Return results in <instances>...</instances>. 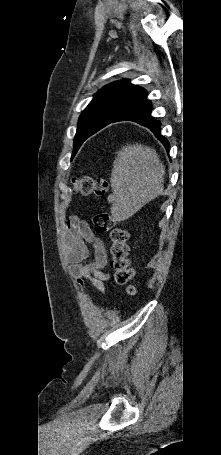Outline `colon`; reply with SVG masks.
I'll return each mask as SVG.
<instances>
[{
    "mask_svg": "<svg viewBox=\"0 0 221 455\" xmlns=\"http://www.w3.org/2000/svg\"><path fill=\"white\" fill-rule=\"evenodd\" d=\"M76 193L83 196L93 195L96 197L109 196V184L107 180L93 176H82L73 181ZM94 229L98 233L110 232V265L114 271L115 280L119 284H129L134 271L129 265L128 255V233L124 228L115 227L112 216L107 212H100L94 215ZM129 293L134 294L136 288L129 286Z\"/></svg>",
    "mask_w": 221,
    "mask_h": 455,
    "instance_id": "1",
    "label": "colon"
}]
</instances>
